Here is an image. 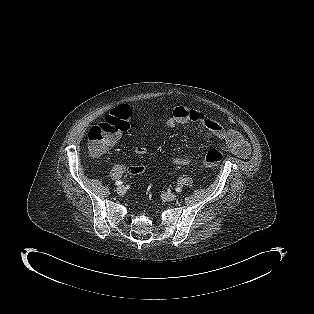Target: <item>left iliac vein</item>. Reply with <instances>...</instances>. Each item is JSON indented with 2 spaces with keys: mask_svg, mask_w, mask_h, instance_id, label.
<instances>
[{
  "mask_svg": "<svg viewBox=\"0 0 314 314\" xmlns=\"http://www.w3.org/2000/svg\"><path fill=\"white\" fill-rule=\"evenodd\" d=\"M163 198L167 201H174L177 198V195L174 193H165L163 194Z\"/></svg>",
  "mask_w": 314,
  "mask_h": 314,
  "instance_id": "obj_1",
  "label": "left iliac vein"
}]
</instances>
